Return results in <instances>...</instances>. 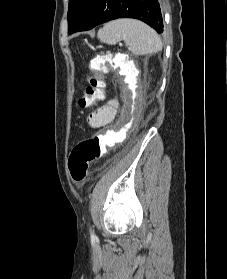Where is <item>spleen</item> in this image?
Returning <instances> with one entry per match:
<instances>
[{
	"label": "spleen",
	"instance_id": "obj_1",
	"mask_svg": "<svg viewBox=\"0 0 227 279\" xmlns=\"http://www.w3.org/2000/svg\"><path fill=\"white\" fill-rule=\"evenodd\" d=\"M98 39L114 45L125 41L128 49L136 55L158 53L162 50L160 36L148 25L134 19H118L103 26L97 33Z\"/></svg>",
	"mask_w": 227,
	"mask_h": 279
}]
</instances>
